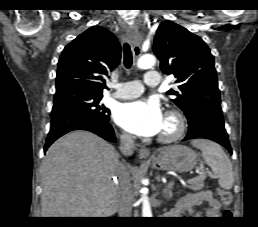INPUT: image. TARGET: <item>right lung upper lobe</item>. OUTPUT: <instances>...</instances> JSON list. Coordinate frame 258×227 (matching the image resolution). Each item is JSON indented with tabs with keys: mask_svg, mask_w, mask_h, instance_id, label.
<instances>
[{
	"mask_svg": "<svg viewBox=\"0 0 258 227\" xmlns=\"http://www.w3.org/2000/svg\"><path fill=\"white\" fill-rule=\"evenodd\" d=\"M121 58L117 38L101 26H93L63 50L57 68L56 93L82 90L102 94L103 76L113 70Z\"/></svg>",
	"mask_w": 258,
	"mask_h": 227,
	"instance_id": "right-lung-upper-lobe-1",
	"label": "right lung upper lobe"
}]
</instances>
